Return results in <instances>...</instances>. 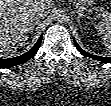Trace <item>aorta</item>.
I'll list each match as a JSON object with an SVG mask.
<instances>
[{"label": "aorta", "mask_w": 111, "mask_h": 106, "mask_svg": "<svg viewBox=\"0 0 111 106\" xmlns=\"http://www.w3.org/2000/svg\"><path fill=\"white\" fill-rule=\"evenodd\" d=\"M57 19L58 21L62 22V21H65L66 19V14L63 12V11H59L57 13Z\"/></svg>", "instance_id": "1"}]
</instances>
